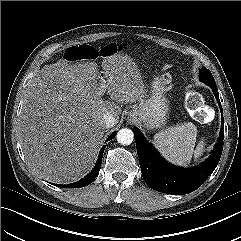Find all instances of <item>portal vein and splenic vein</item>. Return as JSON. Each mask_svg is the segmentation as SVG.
<instances>
[{"label": "portal vein and splenic vein", "instance_id": "portal-vein-and-splenic-vein-1", "mask_svg": "<svg viewBox=\"0 0 241 241\" xmlns=\"http://www.w3.org/2000/svg\"><path fill=\"white\" fill-rule=\"evenodd\" d=\"M101 88H106V85H105V84H102V85H101Z\"/></svg>", "mask_w": 241, "mask_h": 241}]
</instances>
